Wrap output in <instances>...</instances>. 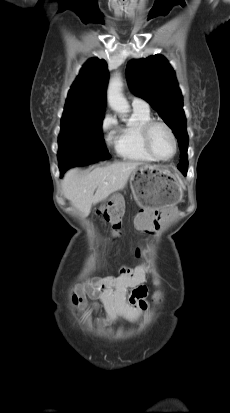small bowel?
Returning <instances> with one entry per match:
<instances>
[{
	"label": "small bowel",
	"mask_w": 230,
	"mask_h": 413,
	"mask_svg": "<svg viewBox=\"0 0 230 413\" xmlns=\"http://www.w3.org/2000/svg\"><path fill=\"white\" fill-rule=\"evenodd\" d=\"M179 211L178 205L138 209V218L134 219V226L141 227L142 231H159L161 224L167 223L166 218H173ZM148 271L147 265L136 268L123 267L117 276L83 284L76 289L72 298L73 303L84 308L88 299L100 300L105 307L106 317L97 319L96 322L102 326L117 322L135 323L147 308L148 290L144 282ZM127 289H132L128 301ZM92 308L97 310L98 304L94 302Z\"/></svg>",
	"instance_id": "small-bowel-1"
}]
</instances>
